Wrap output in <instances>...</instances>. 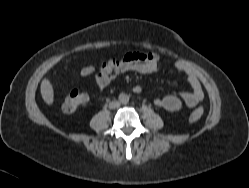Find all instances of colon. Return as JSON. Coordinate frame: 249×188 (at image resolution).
Listing matches in <instances>:
<instances>
[{
    "label": "colon",
    "mask_w": 249,
    "mask_h": 188,
    "mask_svg": "<svg viewBox=\"0 0 249 188\" xmlns=\"http://www.w3.org/2000/svg\"><path fill=\"white\" fill-rule=\"evenodd\" d=\"M91 72V68H84L82 70V75H87ZM89 101V96L81 91L78 90H72L69 92V94L66 96L63 109L65 112H72L76 110L79 107L85 106ZM204 113V110L202 107H197L194 109L190 115H189V121L194 122L199 120Z\"/></svg>",
    "instance_id": "obj_1"
}]
</instances>
